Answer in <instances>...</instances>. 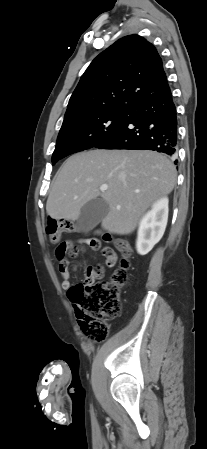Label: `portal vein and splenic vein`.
I'll return each mask as SVG.
<instances>
[{"label":"portal vein and splenic vein","mask_w":207,"mask_h":449,"mask_svg":"<svg viewBox=\"0 0 207 449\" xmlns=\"http://www.w3.org/2000/svg\"><path fill=\"white\" fill-rule=\"evenodd\" d=\"M107 189H108V185H106V184L100 186L101 191H105Z\"/></svg>","instance_id":"obj_1"}]
</instances>
